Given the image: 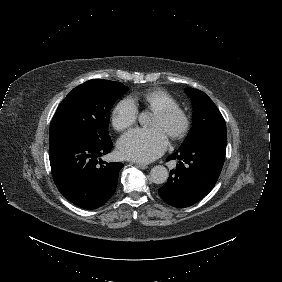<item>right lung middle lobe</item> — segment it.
<instances>
[{
	"label": "right lung middle lobe",
	"instance_id": "obj_1",
	"mask_svg": "<svg viewBox=\"0 0 282 282\" xmlns=\"http://www.w3.org/2000/svg\"><path fill=\"white\" fill-rule=\"evenodd\" d=\"M128 87L93 79L74 88L59 105L50 125L49 142L72 134L109 139L110 110Z\"/></svg>",
	"mask_w": 282,
	"mask_h": 282
}]
</instances>
